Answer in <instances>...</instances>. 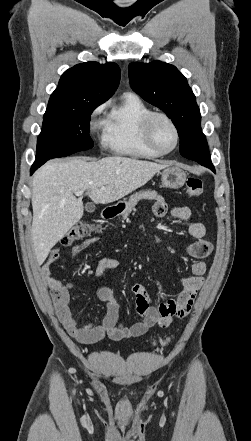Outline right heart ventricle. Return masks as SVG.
<instances>
[{"instance_id":"e07e8e85","label":"right heart ventricle","mask_w":251,"mask_h":441,"mask_svg":"<svg viewBox=\"0 0 251 441\" xmlns=\"http://www.w3.org/2000/svg\"><path fill=\"white\" fill-rule=\"evenodd\" d=\"M152 109L136 94L125 93L104 122L103 144L118 155L156 159L160 155L146 144L143 122Z\"/></svg>"}]
</instances>
